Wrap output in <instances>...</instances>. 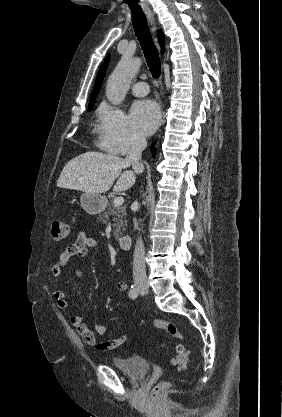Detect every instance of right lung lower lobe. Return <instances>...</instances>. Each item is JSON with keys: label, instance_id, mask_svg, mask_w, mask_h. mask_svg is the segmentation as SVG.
<instances>
[{"label": "right lung lower lobe", "instance_id": "1", "mask_svg": "<svg viewBox=\"0 0 282 417\" xmlns=\"http://www.w3.org/2000/svg\"><path fill=\"white\" fill-rule=\"evenodd\" d=\"M154 144L155 143L152 144V147H154ZM155 150H156L155 148L152 149L153 155L155 154Z\"/></svg>", "mask_w": 282, "mask_h": 417}]
</instances>
